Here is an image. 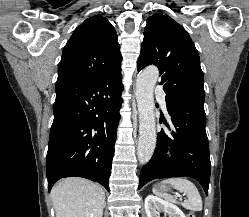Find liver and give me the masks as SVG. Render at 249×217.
I'll return each mask as SVG.
<instances>
[{
	"label": "liver",
	"instance_id": "liver-1",
	"mask_svg": "<svg viewBox=\"0 0 249 217\" xmlns=\"http://www.w3.org/2000/svg\"><path fill=\"white\" fill-rule=\"evenodd\" d=\"M56 217H102L105 206L103 189L83 178H65L52 189Z\"/></svg>",
	"mask_w": 249,
	"mask_h": 217
}]
</instances>
